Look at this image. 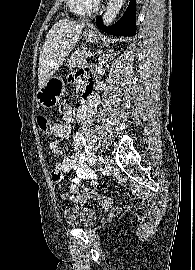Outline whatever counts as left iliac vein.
I'll list each match as a JSON object with an SVG mask.
<instances>
[{
    "mask_svg": "<svg viewBox=\"0 0 195 270\" xmlns=\"http://www.w3.org/2000/svg\"><path fill=\"white\" fill-rule=\"evenodd\" d=\"M113 167V161L111 158L106 157L104 159V172L108 174Z\"/></svg>",
    "mask_w": 195,
    "mask_h": 270,
    "instance_id": "4c4485c4",
    "label": "left iliac vein"
}]
</instances>
